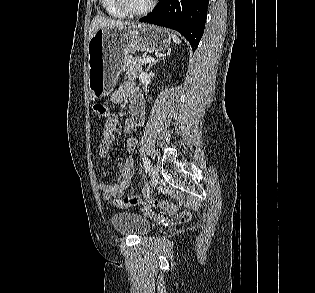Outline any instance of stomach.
<instances>
[{
    "label": "stomach",
    "instance_id": "1",
    "mask_svg": "<svg viewBox=\"0 0 315 293\" xmlns=\"http://www.w3.org/2000/svg\"><path fill=\"white\" fill-rule=\"evenodd\" d=\"M167 30L149 24L98 29L88 44V84L93 99L109 95L131 53L161 51L169 47Z\"/></svg>",
    "mask_w": 315,
    "mask_h": 293
}]
</instances>
